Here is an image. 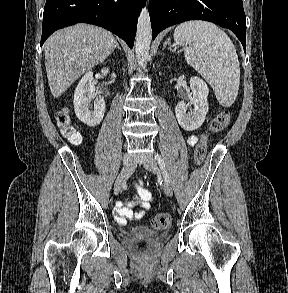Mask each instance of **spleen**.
<instances>
[{"mask_svg":"<svg viewBox=\"0 0 288 293\" xmlns=\"http://www.w3.org/2000/svg\"><path fill=\"white\" fill-rule=\"evenodd\" d=\"M174 40L184 47L186 62L211 85L219 103L231 106L238 95L240 66L228 35L213 23L188 21L175 28Z\"/></svg>","mask_w":288,"mask_h":293,"instance_id":"spleen-1","label":"spleen"}]
</instances>
